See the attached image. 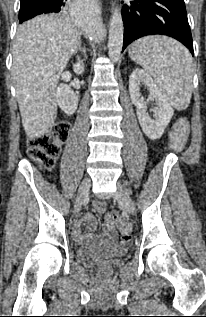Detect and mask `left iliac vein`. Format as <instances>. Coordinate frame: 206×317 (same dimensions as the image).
Wrapping results in <instances>:
<instances>
[{
  "mask_svg": "<svg viewBox=\"0 0 206 317\" xmlns=\"http://www.w3.org/2000/svg\"><path fill=\"white\" fill-rule=\"evenodd\" d=\"M114 198L125 208L128 213L133 214L135 212V204L122 185H118L117 191L114 194Z\"/></svg>",
  "mask_w": 206,
  "mask_h": 317,
  "instance_id": "1",
  "label": "left iliac vein"
}]
</instances>
